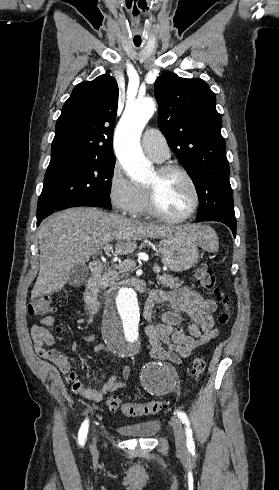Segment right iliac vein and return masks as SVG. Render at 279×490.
Instances as JSON below:
<instances>
[{
  "instance_id": "obj_1",
  "label": "right iliac vein",
  "mask_w": 279,
  "mask_h": 490,
  "mask_svg": "<svg viewBox=\"0 0 279 490\" xmlns=\"http://www.w3.org/2000/svg\"><path fill=\"white\" fill-rule=\"evenodd\" d=\"M95 441H96V437L93 436V440H92V447H93V451H95Z\"/></svg>"
}]
</instances>
